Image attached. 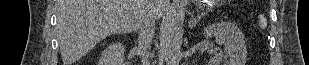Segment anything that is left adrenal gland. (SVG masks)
<instances>
[{"label": "left adrenal gland", "instance_id": "1", "mask_svg": "<svg viewBox=\"0 0 309 65\" xmlns=\"http://www.w3.org/2000/svg\"><path fill=\"white\" fill-rule=\"evenodd\" d=\"M203 14L199 15L198 17L193 18V16L190 18L189 21V27L192 29L193 27H195L197 25V23L200 21V19L202 18Z\"/></svg>", "mask_w": 309, "mask_h": 65}]
</instances>
